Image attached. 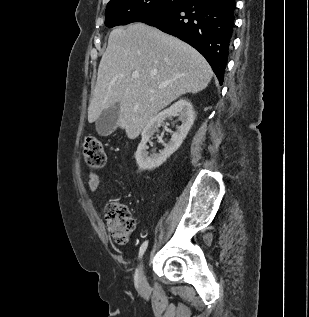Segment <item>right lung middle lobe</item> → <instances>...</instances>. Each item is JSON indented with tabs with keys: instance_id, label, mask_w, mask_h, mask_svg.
<instances>
[{
	"instance_id": "right-lung-middle-lobe-1",
	"label": "right lung middle lobe",
	"mask_w": 309,
	"mask_h": 317,
	"mask_svg": "<svg viewBox=\"0 0 309 317\" xmlns=\"http://www.w3.org/2000/svg\"><path fill=\"white\" fill-rule=\"evenodd\" d=\"M186 0H110L105 12V25L114 27L134 22L137 18L172 8Z\"/></svg>"
}]
</instances>
